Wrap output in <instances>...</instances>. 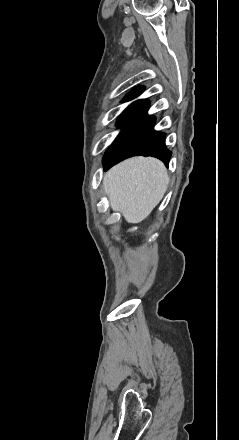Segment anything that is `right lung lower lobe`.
I'll use <instances>...</instances> for the list:
<instances>
[{
  "label": "right lung lower lobe",
  "mask_w": 239,
  "mask_h": 440,
  "mask_svg": "<svg viewBox=\"0 0 239 440\" xmlns=\"http://www.w3.org/2000/svg\"><path fill=\"white\" fill-rule=\"evenodd\" d=\"M148 108L146 100H138L122 114L117 122L122 131L103 158L105 170L135 155L154 156L168 166L171 152L165 146V134L153 129L155 117L147 115Z\"/></svg>",
  "instance_id": "right-lung-lower-lobe-1"
}]
</instances>
